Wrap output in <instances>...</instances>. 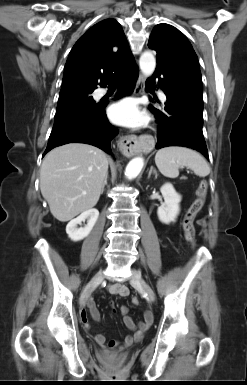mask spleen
<instances>
[{
  "label": "spleen",
  "instance_id": "spleen-1",
  "mask_svg": "<svg viewBox=\"0 0 247 385\" xmlns=\"http://www.w3.org/2000/svg\"><path fill=\"white\" fill-rule=\"evenodd\" d=\"M155 163L161 174L169 178H176L181 167L190 168L200 177L210 173L206 160L195 150L186 147L170 146L158 150Z\"/></svg>",
  "mask_w": 247,
  "mask_h": 385
}]
</instances>
